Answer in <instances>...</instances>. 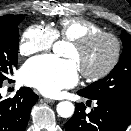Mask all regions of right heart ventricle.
<instances>
[{
    "label": "right heart ventricle",
    "instance_id": "1",
    "mask_svg": "<svg viewBox=\"0 0 131 131\" xmlns=\"http://www.w3.org/2000/svg\"><path fill=\"white\" fill-rule=\"evenodd\" d=\"M56 38L74 41L82 36L102 31V28L95 22L82 17H69L60 20L57 27L53 28Z\"/></svg>",
    "mask_w": 131,
    "mask_h": 131
}]
</instances>
